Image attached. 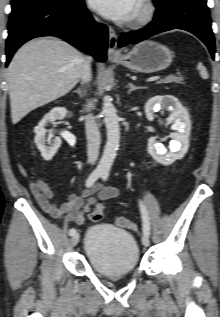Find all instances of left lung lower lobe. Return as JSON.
<instances>
[{"label": "left lung lower lobe", "mask_w": 220, "mask_h": 317, "mask_svg": "<svg viewBox=\"0 0 220 317\" xmlns=\"http://www.w3.org/2000/svg\"><path fill=\"white\" fill-rule=\"evenodd\" d=\"M207 0H159L153 21L137 31L121 35L119 46L135 43L155 34L182 29L200 38L214 59L215 42Z\"/></svg>", "instance_id": "1"}]
</instances>
